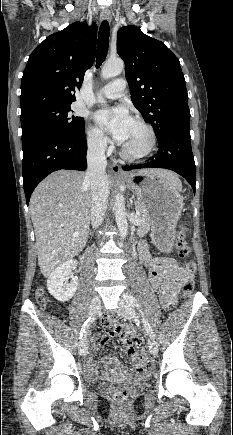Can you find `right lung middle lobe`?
Masks as SVG:
<instances>
[{"mask_svg": "<svg viewBox=\"0 0 233 435\" xmlns=\"http://www.w3.org/2000/svg\"><path fill=\"white\" fill-rule=\"evenodd\" d=\"M70 105L38 109L21 116L22 140L44 132L78 137L84 131V119L70 113Z\"/></svg>", "mask_w": 233, "mask_h": 435, "instance_id": "1", "label": "right lung middle lobe"}]
</instances>
